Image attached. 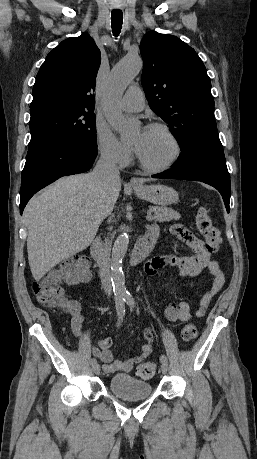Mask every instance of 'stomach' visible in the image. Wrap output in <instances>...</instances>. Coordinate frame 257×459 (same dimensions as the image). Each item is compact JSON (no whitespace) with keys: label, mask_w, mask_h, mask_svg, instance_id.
Here are the masks:
<instances>
[{"label":"stomach","mask_w":257,"mask_h":459,"mask_svg":"<svg viewBox=\"0 0 257 459\" xmlns=\"http://www.w3.org/2000/svg\"><path fill=\"white\" fill-rule=\"evenodd\" d=\"M133 190L139 198L156 205L165 206L178 200V193L173 188L165 185H143L133 187Z\"/></svg>","instance_id":"0dacf381"}]
</instances>
